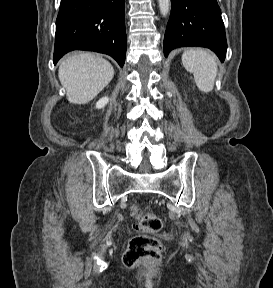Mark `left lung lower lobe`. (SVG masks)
Returning a JSON list of instances; mask_svg holds the SVG:
<instances>
[{
  "label": "left lung lower lobe",
  "instance_id": "1",
  "mask_svg": "<svg viewBox=\"0 0 273 288\" xmlns=\"http://www.w3.org/2000/svg\"><path fill=\"white\" fill-rule=\"evenodd\" d=\"M184 46L207 47L224 61L227 42L216 0H171L164 36L165 57L172 49Z\"/></svg>",
  "mask_w": 273,
  "mask_h": 288
}]
</instances>
